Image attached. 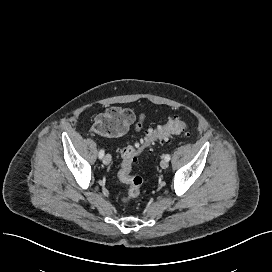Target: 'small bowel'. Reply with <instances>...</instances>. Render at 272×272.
<instances>
[{
  "mask_svg": "<svg viewBox=\"0 0 272 272\" xmlns=\"http://www.w3.org/2000/svg\"><path fill=\"white\" fill-rule=\"evenodd\" d=\"M129 113H130V117H131V119H130V123H132L133 121H134V114L131 112V111H129V110H127ZM139 124V123H138ZM140 124H141V122H140ZM139 124V125H140ZM140 129H141V125H140ZM139 129V130H140Z\"/></svg>",
  "mask_w": 272,
  "mask_h": 272,
  "instance_id": "small-bowel-1",
  "label": "small bowel"
}]
</instances>
